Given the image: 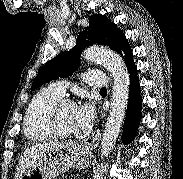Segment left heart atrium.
Returning <instances> with one entry per match:
<instances>
[{
	"label": "left heart atrium",
	"mask_w": 183,
	"mask_h": 179,
	"mask_svg": "<svg viewBox=\"0 0 183 179\" xmlns=\"http://www.w3.org/2000/svg\"><path fill=\"white\" fill-rule=\"evenodd\" d=\"M76 112L80 129L87 127L94 118V110L89 103L77 105Z\"/></svg>",
	"instance_id": "39dd6f15"
}]
</instances>
